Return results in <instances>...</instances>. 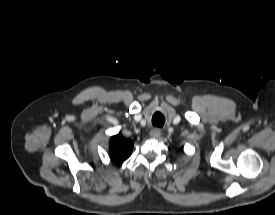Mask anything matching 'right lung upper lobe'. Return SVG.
<instances>
[{"label":"right lung upper lobe","instance_id":"right-lung-upper-lobe-1","mask_svg":"<svg viewBox=\"0 0 275 215\" xmlns=\"http://www.w3.org/2000/svg\"><path fill=\"white\" fill-rule=\"evenodd\" d=\"M133 141L117 134L110 139V155L117 163L125 161L132 153Z\"/></svg>","mask_w":275,"mask_h":215}]
</instances>
